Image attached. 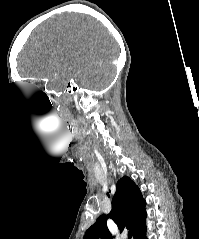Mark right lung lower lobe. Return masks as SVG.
<instances>
[{
  "label": "right lung lower lobe",
  "mask_w": 199,
  "mask_h": 239,
  "mask_svg": "<svg viewBox=\"0 0 199 239\" xmlns=\"http://www.w3.org/2000/svg\"><path fill=\"white\" fill-rule=\"evenodd\" d=\"M146 221L134 232V239H147L146 238Z\"/></svg>",
  "instance_id": "right-lung-lower-lobe-1"
}]
</instances>
